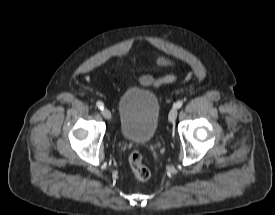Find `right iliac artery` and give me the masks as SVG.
Wrapping results in <instances>:
<instances>
[{
    "label": "right iliac artery",
    "mask_w": 275,
    "mask_h": 215,
    "mask_svg": "<svg viewBox=\"0 0 275 215\" xmlns=\"http://www.w3.org/2000/svg\"><path fill=\"white\" fill-rule=\"evenodd\" d=\"M96 106H97L99 109H101V110H103V108H104V104H103L101 101H98V102L96 103Z\"/></svg>",
    "instance_id": "right-iliac-artery-1"
}]
</instances>
